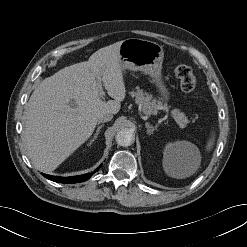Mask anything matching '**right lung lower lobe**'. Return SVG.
Returning a JSON list of instances; mask_svg holds the SVG:
<instances>
[{
  "mask_svg": "<svg viewBox=\"0 0 247 247\" xmlns=\"http://www.w3.org/2000/svg\"><path fill=\"white\" fill-rule=\"evenodd\" d=\"M101 167V166H100ZM99 168H97L95 171L79 176H71V177H58V176H50L47 174H43L44 177L48 178L49 180H52L54 182H59V183H79L86 181L87 179L90 178L91 175H93L95 172H97Z\"/></svg>",
  "mask_w": 247,
  "mask_h": 247,
  "instance_id": "1",
  "label": "right lung lower lobe"
}]
</instances>
